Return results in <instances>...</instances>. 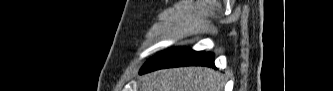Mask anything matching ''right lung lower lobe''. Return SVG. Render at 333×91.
<instances>
[{"instance_id": "1", "label": "right lung lower lobe", "mask_w": 333, "mask_h": 91, "mask_svg": "<svg viewBox=\"0 0 333 91\" xmlns=\"http://www.w3.org/2000/svg\"><path fill=\"white\" fill-rule=\"evenodd\" d=\"M180 66L213 67L214 54L196 52L186 48H172L149 59L141 68L140 73Z\"/></svg>"}]
</instances>
